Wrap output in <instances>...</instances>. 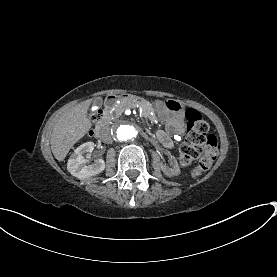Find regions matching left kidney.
I'll list each match as a JSON object with an SVG mask.
<instances>
[{
    "mask_svg": "<svg viewBox=\"0 0 277 277\" xmlns=\"http://www.w3.org/2000/svg\"><path fill=\"white\" fill-rule=\"evenodd\" d=\"M161 169H162V172L168 177H174L181 173L180 167H179V164H178L176 158H174V168L173 169L167 170L164 166H162Z\"/></svg>",
    "mask_w": 277,
    "mask_h": 277,
    "instance_id": "left-kidney-1",
    "label": "left kidney"
}]
</instances>
